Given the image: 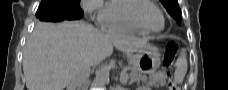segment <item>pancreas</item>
<instances>
[{
	"label": "pancreas",
	"instance_id": "pancreas-1",
	"mask_svg": "<svg viewBox=\"0 0 228 90\" xmlns=\"http://www.w3.org/2000/svg\"><path fill=\"white\" fill-rule=\"evenodd\" d=\"M130 78H131V82H134V81L135 82H140V81H142L143 83H147V87H150V86H156V87L163 86L166 83V80H165L164 77L157 76V75H151L149 77V79H147V77H145V76H137V75H131ZM127 79H128V77H127Z\"/></svg>",
	"mask_w": 228,
	"mask_h": 90
}]
</instances>
